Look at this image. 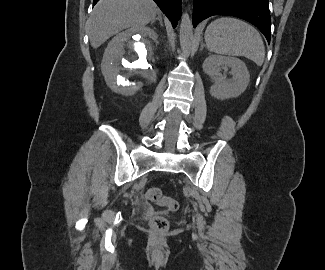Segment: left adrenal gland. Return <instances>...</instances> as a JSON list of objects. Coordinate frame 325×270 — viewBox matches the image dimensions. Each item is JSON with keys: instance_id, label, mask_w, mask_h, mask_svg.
Here are the masks:
<instances>
[{"instance_id": "1", "label": "left adrenal gland", "mask_w": 325, "mask_h": 270, "mask_svg": "<svg viewBox=\"0 0 325 270\" xmlns=\"http://www.w3.org/2000/svg\"><path fill=\"white\" fill-rule=\"evenodd\" d=\"M206 47L205 44L203 43V41L201 42V50Z\"/></svg>"}]
</instances>
